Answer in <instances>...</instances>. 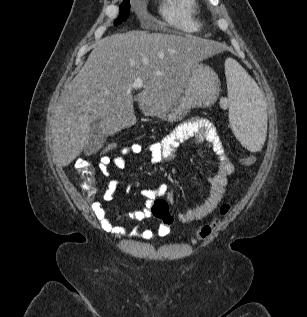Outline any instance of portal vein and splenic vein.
<instances>
[{
    "label": "portal vein and splenic vein",
    "mask_w": 307,
    "mask_h": 317,
    "mask_svg": "<svg viewBox=\"0 0 307 317\" xmlns=\"http://www.w3.org/2000/svg\"><path fill=\"white\" fill-rule=\"evenodd\" d=\"M144 85V81L141 77H138L134 83L131 85L132 88H142Z\"/></svg>",
    "instance_id": "18ae733b"
}]
</instances>
